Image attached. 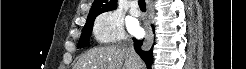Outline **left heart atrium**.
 <instances>
[{"label":"left heart atrium","mask_w":246,"mask_h":69,"mask_svg":"<svg viewBox=\"0 0 246 69\" xmlns=\"http://www.w3.org/2000/svg\"><path fill=\"white\" fill-rule=\"evenodd\" d=\"M131 30L135 33H138L140 31V28L136 24H132Z\"/></svg>","instance_id":"left-heart-atrium-1"}]
</instances>
